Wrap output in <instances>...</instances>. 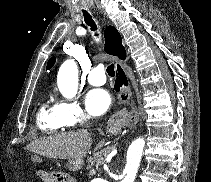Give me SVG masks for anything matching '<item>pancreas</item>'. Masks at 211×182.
<instances>
[{"instance_id": "1", "label": "pancreas", "mask_w": 211, "mask_h": 182, "mask_svg": "<svg viewBox=\"0 0 211 182\" xmlns=\"http://www.w3.org/2000/svg\"><path fill=\"white\" fill-rule=\"evenodd\" d=\"M114 149V147H109L107 149H104L100 152L94 153L91 157H89L87 159V170H93V167H98L100 166L105 160L106 157L108 156L109 152L112 151Z\"/></svg>"}]
</instances>
